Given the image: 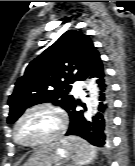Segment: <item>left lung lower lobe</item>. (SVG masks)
<instances>
[{
  "label": "left lung lower lobe",
  "instance_id": "obj_1",
  "mask_svg": "<svg viewBox=\"0 0 135 166\" xmlns=\"http://www.w3.org/2000/svg\"><path fill=\"white\" fill-rule=\"evenodd\" d=\"M88 76L97 78L96 83L99 90L98 112L92 118V121H87L84 117V111L75 110L76 106L80 105V103L74 101L67 111L70 116V126L66 135H77L86 139L94 146L104 147L110 141L113 103L111 87L99 54L92 59L80 81L85 80ZM83 107L85 108L84 105Z\"/></svg>",
  "mask_w": 135,
  "mask_h": 166
}]
</instances>
